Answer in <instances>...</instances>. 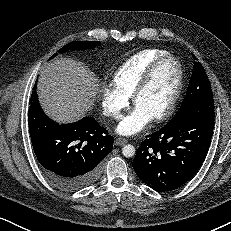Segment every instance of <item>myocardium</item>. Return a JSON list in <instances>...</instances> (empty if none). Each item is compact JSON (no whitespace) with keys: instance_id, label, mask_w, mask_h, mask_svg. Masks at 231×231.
I'll return each instance as SVG.
<instances>
[{"instance_id":"f54148a6","label":"myocardium","mask_w":231,"mask_h":231,"mask_svg":"<svg viewBox=\"0 0 231 231\" xmlns=\"http://www.w3.org/2000/svg\"><path fill=\"white\" fill-rule=\"evenodd\" d=\"M167 60H172L176 64V68H177L176 84H175L172 96L170 98V101H169L168 105L166 106V108L159 115L152 118L154 122H162V121L166 120L167 118H169L173 114V112L177 106L178 100H179L181 92H182L183 80H184L183 68H182V65H181L180 61L178 60V58H176L175 56H173L171 54H164V55L156 58L154 61H152L150 63V65L147 67V69L145 70L142 78L140 79L139 83L137 84V86H136V88L132 94V102L136 106L140 95L143 93V91L149 85V83H150L155 71L157 70V68L163 62H165Z\"/></svg>"}]
</instances>
